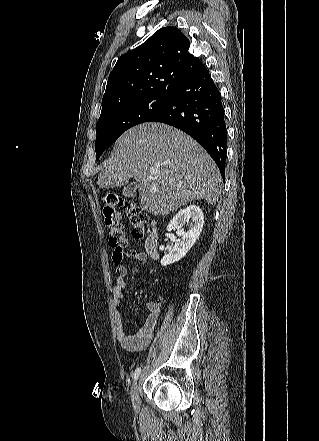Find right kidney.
Here are the masks:
<instances>
[{
    "label": "right kidney",
    "instance_id": "ca27d5eb",
    "mask_svg": "<svg viewBox=\"0 0 319 441\" xmlns=\"http://www.w3.org/2000/svg\"><path fill=\"white\" fill-rule=\"evenodd\" d=\"M190 224L188 231H184L185 223ZM204 225V216L202 210L196 205H189L180 210L170 221L167 231L177 230L181 238L175 242L169 254H165L161 259V265L169 264L181 260L196 243Z\"/></svg>",
    "mask_w": 319,
    "mask_h": 441
}]
</instances>
